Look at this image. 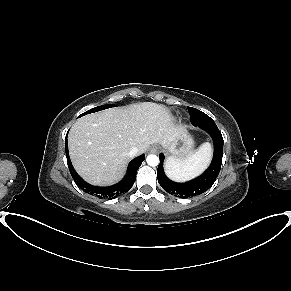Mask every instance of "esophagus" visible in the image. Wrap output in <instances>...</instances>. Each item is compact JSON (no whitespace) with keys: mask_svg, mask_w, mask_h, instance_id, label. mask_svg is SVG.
Wrapping results in <instances>:
<instances>
[{"mask_svg":"<svg viewBox=\"0 0 291 291\" xmlns=\"http://www.w3.org/2000/svg\"><path fill=\"white\" fill-rule=\"evenodd\" d=\"M152 152H156V149H152Z\"/></svg>","mask_w":291,"mask_h":291,"instance_id":"obj_1","label":"esophagus"}]
</instances>
